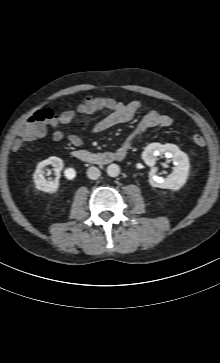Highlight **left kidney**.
<instances>
[{
  "label": "left kidney",
  "instance_id": "obj_1",
  "mask_svg": "<svg viewBox=\"0 0 220 363\" xmlns=\"http://www.w3.org/2000/svg\"><path fill=\"white\" fill-rule=\"evenodd\" d=\"M159 154H165L171 158L174 164L173 171L166 178H162L155 174L153 168L149 173V183L153 187L162 189H180L185 184L189 174L190 165L187 155L174 144L151 143L144 149L142 159L148 166L153 167Z\"/></svg>",
  "mask_w": 220,
  "mask_h": 363
}]
</instances>
